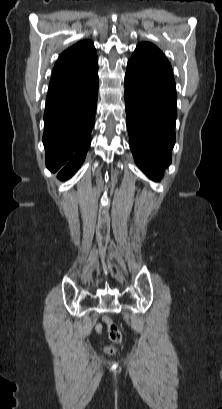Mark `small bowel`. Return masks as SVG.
Returning <instances> with one entry per match:
<instances>
[{"label":"small bowel","instance_id":"1","mask_svg":"<svg viewBox=\"0 0 222 409\" xmlns=\"http://www.w3.org/2000/svg\"><path fill=\"white\" fill-rule=\"evenodd\" d=\"M95 330H96L98 333H101V330H102L101 324H97V325L95 326Z\"/></svg>","mask_w":222,"mask_h":409}]
</instances>
